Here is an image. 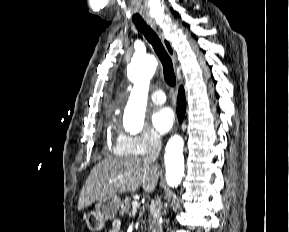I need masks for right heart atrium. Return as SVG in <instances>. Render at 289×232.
Segmentation results:
<instances>
[{
	"mask_svg": "<svg viewBox=\"0 0 289 232\" xmlns=\"http://www.w3.org/2000/svg\"><path fill=\"white\" fill-rule=\"evenodd\" d=\"M160 145V137L152 130H145L139 134L119 131L115 139L114 151L120 155L143 156L157 151Z\"/></svg>",
	"mask_w": 289,
	"mask_h": 232,
	"instance_id": "right-heart-atrium-1",
	"label": "right heart atrium"
}]
</instances>
